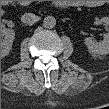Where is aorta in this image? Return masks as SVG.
<instances>
[{"mask_svg": "<svg viewBox=\"0 0 109 109\" xmlns=\"http://www.w3.org/2000/svg\"><path fill=\"white\" fill-rule=\"evenodd\" d=\"M56 25V19L53 16H47L43 20V26L47 29H51L55 27Z\"/></svg>", "mask_w": 109, "mask_h": 109, "instance_id": "1", "label": "aorta"}]
</instances>
